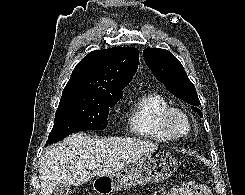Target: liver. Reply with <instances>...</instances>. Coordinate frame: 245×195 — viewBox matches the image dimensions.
<instances>
[{"label":"liver","mask_w":245,"mask_h":195,"mask_svg":"<svg viewBox=\"0 0 245 195\" xmlns=\"http://www.w3.org/2000/svg\"><path fill=\"white\" fill-rule=\"evenodd\" d=\"M158 146L138 138H91L79 132L53 146L42 157L39 174L41 195H52L61 184L82 185L91 178L109 177ZM95 165L93 173L89 167Z\"/></svg>","instance_id":"liver-1"}]
</instances>
